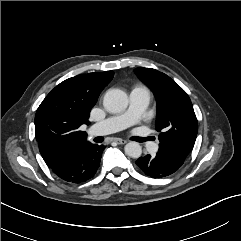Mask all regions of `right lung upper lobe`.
I'll use <instances>...</instances> for the list:
<instances>
[{"label": "right lung upper lobe", "mask_w": 241, "mask_h": 241, "mask_svg": "<svg viewBox=\"0 0 241 241\" xmlns=\"http://www.w3.org/2000/svg\"><path fill=\"white\" fill-rule=\"evenodd\" d=\"M113 71L80 74L57 85L42 101L35 116V136L46 163L65 148L86 144L79 128L89 124V113Z\"/></svg>", "instance_id": "cb5924a9"}]
</instances>
